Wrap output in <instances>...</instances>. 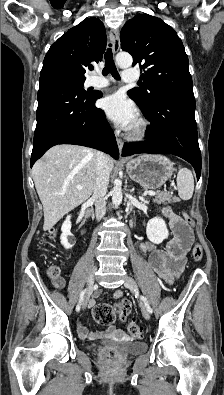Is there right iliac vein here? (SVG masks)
<instances>
[{
    "mask_svg": "<svg viewBox=\"0 0 224 395\" xmlns=\"http://www.w3.org/2000/svg\"><path fill=\"white\" fill-rule=\"evenodd\" d=\"M95 273H96V268H93L92 272L90 273L87 281V292L85 294L84 300L82 302V308L85 309L87 306V303L89 301L90 295L93 291L94 288V283H95Z\"/></svg>",
    "mask_w": 224,
    "mask_h": 395,
    "instance_id": "63e3f726",
    "label": "right iliac vein"
}]
</instances>
